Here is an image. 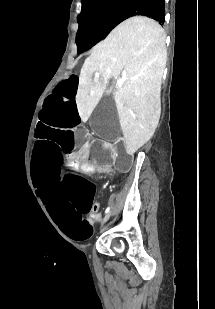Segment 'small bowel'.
<instances>
[{"instance_id": "small-bowel-1", "label": "small bowel", "mask_w": 215, "mask_h": 309, "mask_svg": "<svg viewBox=\"0 0 215 309\" xmlns=\"http://www.w3.org/2000/svg\"><path fill=\"white\" fill-rule=\"evenodd\" d=\"M96 205V204H95ZM98 211V206L96 205V208L93 210V212H97Z\"/></svg>"}]
</instances>
